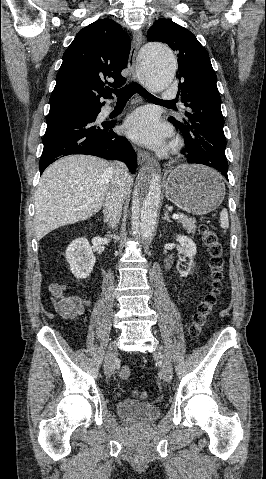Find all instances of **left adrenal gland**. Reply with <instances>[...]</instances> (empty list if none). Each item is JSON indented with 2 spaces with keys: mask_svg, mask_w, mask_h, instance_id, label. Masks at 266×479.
<instances>
[{
  "mask_svg": "<svg viewBox=\"0 0 266 479\" xmlns=\"http://www.w3.org/2000/svg\"><path fill=\"white\" fill-rule=\"evenodd\" d=\"M162 219L166 222H172V220H170L169 216H168V212L165 210V213H164V216L162 217Z\"/></svg>",
  "mask_w": 266,
  "mask_h": 479,
  "instance_id": "1",
  "label": "left adrenal gland"
}]
</instances>
